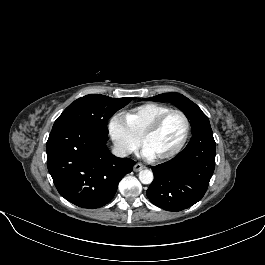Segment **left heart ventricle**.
Wrapping results in <instances>:
<instances>
[{"instance_id":"left-heart-ventricle-1","label":"left heart ventricle","mask_w":265,"mask_h":265,"mask_svg":"<svg viewBox=\"0 0 265 265\" xmlns=\"http://www.w3.org/2000/svg\"><path fill=\"white\" fill-rule=\"evenodd\" d=\"M185 133V121L179 114L168 116L158 131L151 135L145 144L151 155L166 153L174 149Z\"/></svg>"}]
</instances>
